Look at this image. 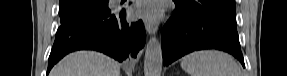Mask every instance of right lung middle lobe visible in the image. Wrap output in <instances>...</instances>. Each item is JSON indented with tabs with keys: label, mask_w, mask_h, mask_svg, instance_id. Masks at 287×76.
Listing matches in <instances>:
<instances>
[{
	"label": "right lung middle lobe",
	"mask_w": 287,
	"mask_h": 76,
	"mask_svg": "<svg viewBox=\"0 0 287 76\" xmlns=\"http://www.w3.org/2000/svg\"><path fill=\"white\" fill-rule=\"evenodd\" d=\"M108 6V0H60V23L64 25L77 18L95 14Z\"/></svg>",
	"instance_id": "obj_1"
}]
</instances>
